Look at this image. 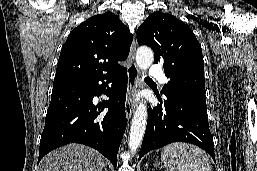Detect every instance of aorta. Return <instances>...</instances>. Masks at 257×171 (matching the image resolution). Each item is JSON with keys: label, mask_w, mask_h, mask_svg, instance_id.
<instances>
[{"label": "aorta", "mask_w": 257, "mask_h": 171, "mask_svg": "<svg viewBox=\"0 0 257 171\" xmlns=\"http://www.w3.org/2000/svg\"><path fill=\"white\" fill-rule=\"evenodd\" d=\"M154 60L153 51L149 47H139L136 53V62L140 70L146 71ZM147 108L143 102L137 106L130 128L129 148L132 152L140 146L147 123Z\"/></svg>", "instance_id": "1"}]
</instances>
